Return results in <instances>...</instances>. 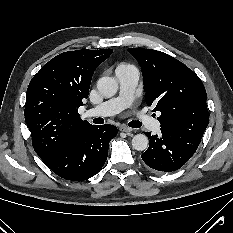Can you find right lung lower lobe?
I'll list each match as a JSON object with an SVG mask.
<instances>
[{
    "label": "right lung lower lobe",
    "mask_w": 233,
    "mask_h": 233,
    "mask_svg": "<svg viewBox=\"0 0 233 233\" xmlns=\"http://www.w3.org/2000/svg\"><path fill=\"white\" fill-rule=\"evenodd\" d=\"M110 124L92 125L71 140L44 163L58 176L83 181L94 176L106 162L108 146L117 135Z\"/></svg>",
    "instance_id": "obj_1"
}]
</instances>
